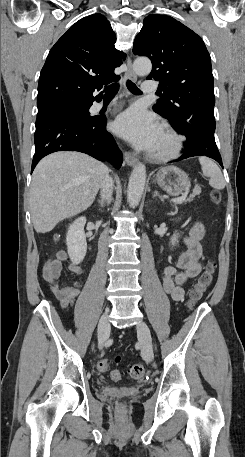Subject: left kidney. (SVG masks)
Instances as JSON below:
<instances>
[{
    "label": "left kidney",
    "instance_id": "obj_1",
    "mask_svg": "<svg viewBox=\"0 0 245 457\" xmlns=\"http://www.w3.org/2000/svg\"><path fill=\"white\" fill-rule=\"evenodd\" d=\"M178 237H179L178 233H174V235H172V237L170 239V243H171V245H174V247L178 243Z\"/></svg>",
    "mask_w": 245,
    "mask_h": 457
}]
</instances>
